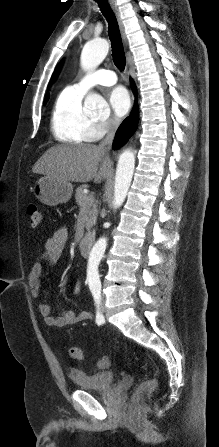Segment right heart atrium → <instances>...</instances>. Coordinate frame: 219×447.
I'll use <instances>...</instances> for the list:
<instances>
[{
	"label": "right heart atrium",
	"mask_w": 219,
	"mask_h": 447,
	"mask_svg": "<svg viewBox=\"0 0 219 447\" xmlns=\"http://www.w3.org/2000/svg\"><path fill=\"white\" fill-rule=\"evenodd\" d=\"M115 126H116V122L113 120H105V121L97 123V129H98L99 133L101 134V136L111 132L115 128Z\"/></svg>",
	"instance_id": "1"
}]
</instances>
